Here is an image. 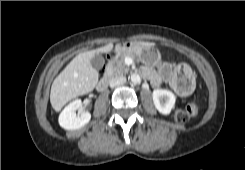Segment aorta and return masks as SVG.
Wrapping results in <instances>:
<instances>
[{"label":"aorta","mask_w":245,"mask_h":170,"mask_svg":"<svg viewBox=\"0 0 245 170\" xmlns=\"http://www.w3.org/2000/svg\"><path fill=\"white\" fill-rule=\"evenodd\" d=\"M130 80L133 84H139L141 82V77L139 74L133 73L130 76Z\"/></svg>","instance_id":"aorta-1"}]
</instances>
